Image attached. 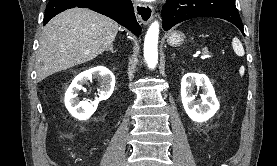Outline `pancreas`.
<instances>
[{
    "mask_svg": "<svg viewBox=\"0 0 277 166\" xmlns=\"http://www.w3.org/2000/svg\"><path fill=\"white\" fill-rule=\"evenodd\" d=\"M203 52H204V53H207V51H206L205 49L203 50Z\"/></svg>",
    "mask_w": 277,
    "mask_h": 166,
    "instance_id": "pancreas-1",
    "label": "pancreas"
}]
</instances>
